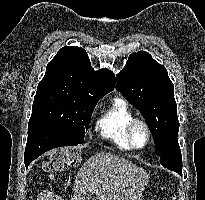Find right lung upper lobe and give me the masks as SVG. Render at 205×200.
Returning <instances> with one entry per match:
<instances>
[{
    "mask_svg": "<svg viewBox=\"0 0 205 200\" xmlns=\"http://www.w3.org/2000/svg\"><path fill=\"white\" fill-rule=\"evenodd\" d=\"M42 81L65 83L100 99L114 89L116 80L108 69L94 71L83 48L66 46L48 63Z\"/></svg>",
    "mask_w": 205,
    "mask_h": 200,
    "instance_id": "obj_1",
    "label": "right lung upper lobe"
}]
</instances>
